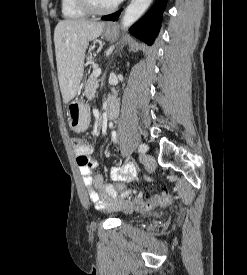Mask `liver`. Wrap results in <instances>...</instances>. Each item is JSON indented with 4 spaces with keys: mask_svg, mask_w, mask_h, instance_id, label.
<instances>
[{
    "mask_svg": "<svg viewBox=\"0 0 247 275\" xmlns=\"http://www.w3.org/2000/svg\"><path fill=\"white\" fill-rule=\"evenodd\" d=\"M104 22L84 19L60 21L54 31L59 86L63 102L68 104L77 94L84 73L85 52L89 41L99 37Z\"/></svg>",
    "mask_w": 247,
    "mask_h": 275,
    "instance_id": "obj_1",
    "label": "liver"
}]
</instances>
